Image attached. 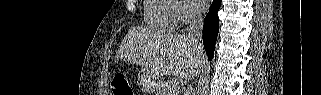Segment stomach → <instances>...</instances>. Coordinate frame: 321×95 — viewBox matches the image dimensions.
I'll return each instance as SVG.
<instances>
[{"label":"stomach","mask_w":321,"mask_h":95,"mask_svg":"<svg viewBox=\"0 0 321 95\" xmlns=\"http://www.w3.org/2000/svg\"><path fill=\"white\" fill-rule=\"evenodd\" d=\"M137 84L143 91H153L157 85V78L147 71L141 70L137 78Z\"/></svg>","instance_id":"stomach-1"}]
</instances>
